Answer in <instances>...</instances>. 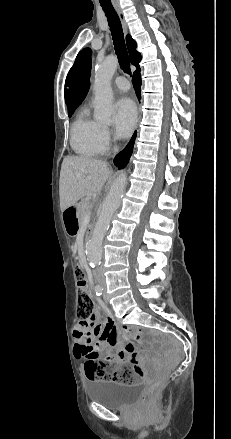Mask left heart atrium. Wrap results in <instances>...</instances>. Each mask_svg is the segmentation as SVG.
Instances as JSON below:
<instances>
[{
  "label": "left heart atrium",
  "instance_id": "obj_1",
  "mask_svg": "<svg viewBox=\"0 0 231 439\" xmlns=\"http://www.w3.org/2000/svg\"><path fill=\"white\" fill-rule=\"evenodd\" d=\"M114 128L119 138H125L132 132L137 118L136 108L128 98L119 99L114 105Z\"/></svg>",
  "mask_w": 231,
  "mask_h": 439
}]
</instances>
